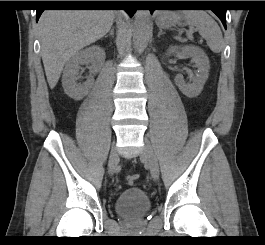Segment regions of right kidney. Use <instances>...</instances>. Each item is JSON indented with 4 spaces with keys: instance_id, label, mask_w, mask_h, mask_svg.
I'll use <instances>...</instances> for the list:
<instances>
[{
    "instance_id": "obj_1",
    "label": "right kidney",
    "mask_w": 265,
    "mask_h": 245,
    "mask_svg": "<svg viewBox=\"0 0 265 245\" xmlns=\"http://www.w3.org/2000/svg\"><path fill=\"white\" fill-rule=\"evenodd\" d=\"M105 61V51L99 46H91L77 52L65 65L62 76V86L65 93L75 99L81 100L87 95V85L78 83L80 65L91 63L92 68L98 70Z\"/></svg>"
}]
</instances>
